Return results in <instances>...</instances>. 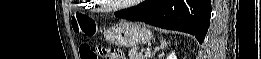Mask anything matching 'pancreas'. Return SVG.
Returning <instances> with one entry per match:
<instances>
[{
	"label": "pancreas",
	"mask_w": 261,
	"mask_h": 59,
	"mask_svg": "<svg viewBox=\"0 0 261 59\" xmlns=\"http://www.w3.org/2000/svg\"><path fill=\"white\" fill-rule=\"evenodd\" d=\"M128 56L129 59H147V57L143 55V52H139L135 48L129 50Z\"/></svg>",
	"instance_id": "cf45deb5"
}]
</instances>
